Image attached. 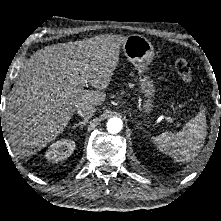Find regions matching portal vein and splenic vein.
Wrapping results in <instances>:
<instances>
[{
    "label": "portal vein and splenic vein",
    "mask_w": 221,
    "mask_h": 221,
    "mask_svg": "<svg viewBox=\"0 0 221 221\" xmlns=\"http://www.w3.org/2000/svg\"><path fill=\"white\" fill-rule=\"evenodd\" d=\"M82 75V80H81V85L82 86H85L86 82H87V79H86V71H82L81 73ZM166 121L170 122V123H174V119L171 118V117H164Z\"/></svg>",
    "instance_id": "1"
}]
</instances>
